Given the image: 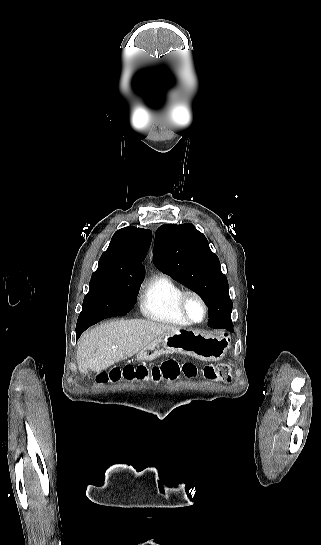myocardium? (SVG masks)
<instances>
[{"label": "myocardium", "mask_w": 321, "mask_h": 545, "mask_svg": "<svg viewBox=\"0 0 321 545\" xmlns=\"http://www.w3.org/2000/svg\"><path fill=\"white\" fill-rule=\"evenodd\" d=\"M189 297H195L199 300L203 307V316L200 320H194L187 311V299ZM177 311L180 317L189 325L202 324L208 316V305L204 297L196 290L188 289L184 290L177 299Z\"/></svg>", "instance_id": "1"}]
</instances>
